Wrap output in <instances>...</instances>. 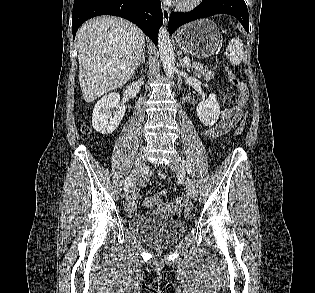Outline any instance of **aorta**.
Instances as JSON below:
<instances>
[{"instance_id": "obj_1", "label": "aorta", "mask_w": 315, "mask_h": 293, "mask_svg": "<svg viewBox=\"0 0 315 293\" xmlns=\"http://www.w3.org/2000/svg\"><path fill=\"white\" fill-rule=\"evenodd\" d=\"M158 48L167 77L172 78L176 70L173 46L167 29L163 26L158 33Z\"/></svg>"}]
</instances>
